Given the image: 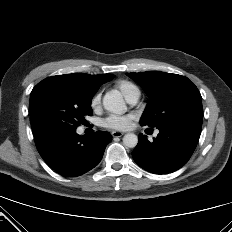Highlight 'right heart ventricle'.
<instances>
[{
  "mask_svg": "<svg viewBox=\"0 0 232 232\" xmlns=\"http://www.w3.org/2000/svg\"><path fill=\"white\" fill-rule=\"evenodd\" d=\"M115 87L128 101L140 96L139 87L129 80H120L115 84Z\"/></svg>",
  "mask_w": 232,
  "mask_h": 232,
  "instance_id": "e07e8e85",
  "label": "right heart ventricle"
}]
</instances>
